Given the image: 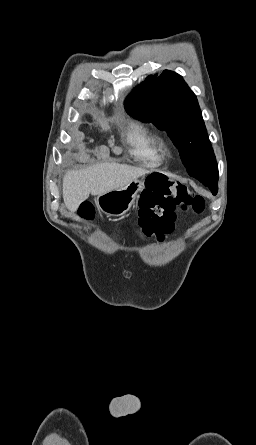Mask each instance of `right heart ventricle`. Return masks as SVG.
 <instances>
[{"label": "right heart ventricle", "mask_w": 256, "mask_h": 445, "mask_svg": "<svg viewBox=\"0 0 256 445\" xmlns=\"http://www.w3.org/2000/svg\"><path fill=\"white\" fill-rule=\"evenodd\" d=\"M126 140L130 153L137 160L152 167L162 163L161 142L144 124L131 123L127 130Z\"/></svg>", "instance_id": "e07e8e85"}]
</instances>
